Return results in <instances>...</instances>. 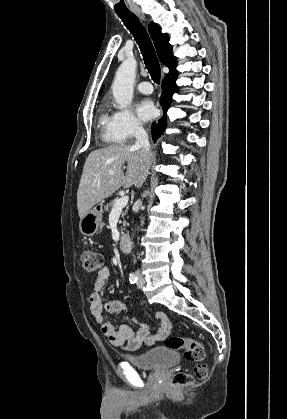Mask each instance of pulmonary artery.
Returning <instances> with one entry per match:
<instances>
[{
  "label": "pulmonary artery",
  "instance_id": "e3ab8cb5",
  "mask_svg": "<svg viewBox=\"0 0 287 419\" xmlns=\"http://www.w3.org/2000/svg\"><path fill=\"white\" fill-rule=\"evenodd\" d=\"M137 90L143 94H150L153 91V87L150 82L143 81L137 85Z\"/></svg>",
  "mask_w": 287,
  "mask_h": 419
}]
</instances>
